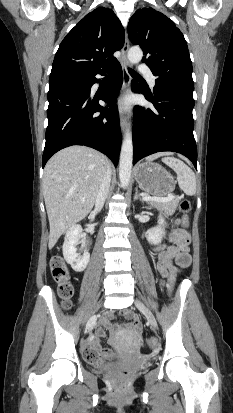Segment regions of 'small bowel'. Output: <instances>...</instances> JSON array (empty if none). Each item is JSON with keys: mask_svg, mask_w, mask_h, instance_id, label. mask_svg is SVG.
Returning <instances> with one entry per match:
<instances>
[{"mask_svg": "<svg viewBox=\"0 0 233 413\" xmlns=\"http://www.w3.org/2000/svg\"><path fill=\"white\" fill-rule=\"evenodd\" d=\"M169 242L170 244L157 246L152 253V258L156 260L155 271L163 280L162 284H164L165 280L169 281L171 277H174L176 273L179 272L180 268L188 267L191 262L189 254L190 240L189 235L185 230L181 228L172 230L169 234ZM174 260L178 267L174 266ZM123 315L129 322L118 324L116 327L119 330L126 329L130 333V342L127 353L136 354L141 345L139 337L142 329L141 322L139 317L130 310H125ZM112 316L113 314L109 313L107 316L103 317L96 327L95 333L88 337L85 347L86 358L89 354L112 356L111 352L103 350L100 346V337L105 336V329L112 327L110 322Z\"/></svg>", "mask_w": 233, "mask_h": 413, "instance_id": "small-bowel-1", "label": "small bowel"}]
</instances>
